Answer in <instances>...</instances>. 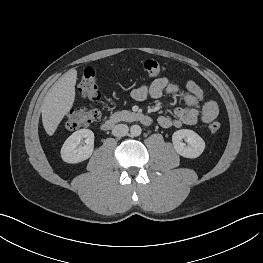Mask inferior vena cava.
<instances>
[{
	"label": "inferior vena cava",
	"instance_id": "1",
	"mask_svg": "<svg viewBox=\"0 0 263 263\" xmlns=\"http://www.w3.org/2000/svg\"><path fill=\"white\" fill-rule=\"evenodd\" d=\"M129 128L126 124H117L112 129V134L117 137H123L128 134Z\"/></svg>",
	"mask_w": 263,
	"mask_h": 263
}]
</instances>
